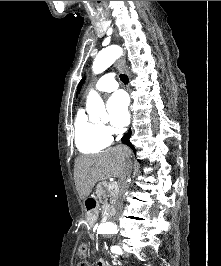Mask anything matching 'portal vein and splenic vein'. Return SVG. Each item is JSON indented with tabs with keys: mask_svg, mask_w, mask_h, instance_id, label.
<instances>
[{
	"mask_svg": "<svg viewBox=\"0 0 221 266\" xmlns=\"http://www.w3.org/2000/svg\"><path fill=\"white\" fill-rule=\"evenodd\" d=\"M118 187V183L116 181L109 184L108 189L113 190Z\"/></svg>",
	"mask_w": 221,
	"mask_h": 266,
	"instance_id": "obj_1",
	"label": "portal vein and splenic vein"
}]
</instances>
